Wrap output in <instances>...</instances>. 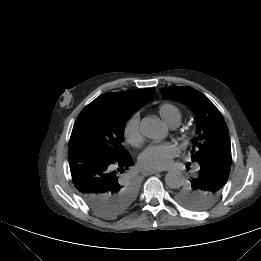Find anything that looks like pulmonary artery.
<instances>
[{
	"label": "pulmonary artery",
	"instance_id": "obj_1",
	"mask_svg": "<svg viewBox=\"0 0 261 261\" xmlns=\"http://www.w3.org/2000/svg\"><path fill=\"white\" fill-rule=\"evenodd\" d=\"M171 128H176L178 126V123H172L169 125Z\"/></svg>",
	"mask_w": 261,
	"mask_h": 261
}]
</instances>
